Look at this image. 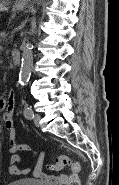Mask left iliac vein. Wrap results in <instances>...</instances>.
<instances>
[{"label":"left iliac vein","instance_id":"left-iliac-vein-1","mask_svg":"<svg viewBox=\"0 0 119 185\" xmlns=\"http://www.w3.org/2000/svg\"><path fill=\"white\" fill-rule=\"evenodd\" d=\"M40 119H41V116L39 114H35L33 117V122L37 127L40 126Z\"/></svg>","mask_w":119,"mask_h":185}]
</instances>
